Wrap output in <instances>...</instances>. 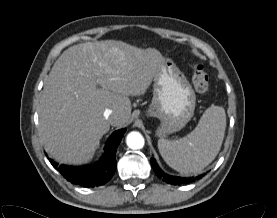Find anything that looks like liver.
Here are the masks:
<instances>
[{
  "label": "liver",
  "instance_id": "liver-1",
  "mask_svg": "<svg viewBox=\"0 0 277 218\" xmlns=\"http://www.w3.org/2000/svg\"><path fill=\"white\" fill-rule=\"evenodd\" d=\"M163 63L156 49L115 40L65 50L49 73L38 108L40 136L49 155L64 164L89 161L110 125L128 122L129 97L144 95ZM106 109L113 112L110 120L104 117Z\"/></svg>",
  "mask_w": 277,
  "mask_h": 218
}]
</instances>
